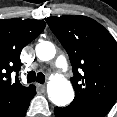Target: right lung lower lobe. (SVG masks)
I'll return each mask as SVG.
<instances>
[{
    "label": "right lung lower lobe",
    "mask_w": 117,
    "mask_h": 117,
    "mask_svg": "<svg viewBox=\"0 0 117 117\" xmlns=\"http://www.w3.org/2000/svg\"><path fill=\"white\" fill-rule=\"evenodd\" d=\"M35 94H36V91H35L34 95ZM33 96L30 99H28L15 113L10 115V117H25L27 108H28L30 101L33 98Z\"/></svg>",
    "instance_id": "98d812e1"
}]
</instances>
